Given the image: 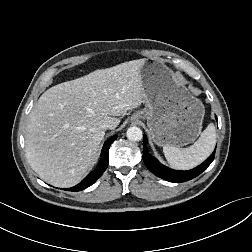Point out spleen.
Segmentation results:
<instances>
[{
    "mask_svg": "<svg viewBox=\"0 0 252 252\" xmlns=\"http://www.w3.org/2000/svg\"><path fill=\"white\" fill-rule=\"evenodd\" d=\"M215 144L216 131L211 123L193 145L186 148L165 145L163 152L171 167L188 170L202 163L213 152Z\"/></svg>",
    "mask_w": 252,
    "mask_h": 252,
    "instance_id": "3e777b00",
    "label": "spleen"
}]
</instances>
